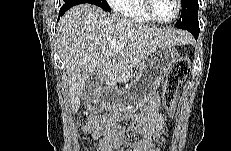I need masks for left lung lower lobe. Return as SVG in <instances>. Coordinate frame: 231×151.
I'll return each mask as SVG.
<instances>
[{
	"label": "left lung lower lobe",
	"mask_w": 231,
	"mask_h": 151,
	"mask_svg": "<svg viewBox=\"0 0 231 151\" xmlns=\"http://www.w3.org/2000/svg\"><path fill=\"white\" fill-rule=\"evenodd\" d=\"M189 32H191L192 35L195 37V39H197L198 36H199L200 30H199V29H196V30H191V31H189Z\"/></svg>",
	"instance_id": "1"
}]
</instances>
